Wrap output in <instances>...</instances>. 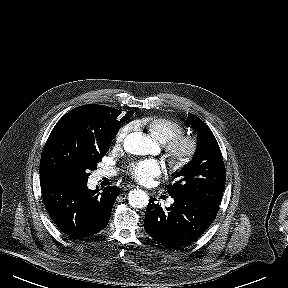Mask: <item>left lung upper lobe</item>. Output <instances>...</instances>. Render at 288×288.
I'll return each mask as SVG.
<instances>
[{
    "label": "left lung upper lobe",
    "mask_w": 288,
    "mask_h": 288,
    "mask_svg": "<svg viewBox=\"0 0 288 288\" xmlns=\"http://www.w3.org/2000/svg\"><path fill=\"white\" fill-rule=\"evenodd\" d=\"M188 126L197 131V150L193 159L167 185L174 198H189L218 208L225 187L226 171L219 145L207 125L189 113Z\"/></svg>",
    "instance_id": "obj_1"
}]
</instances>
